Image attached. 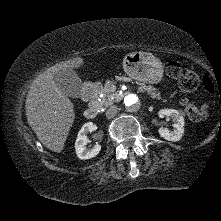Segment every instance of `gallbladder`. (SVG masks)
Masks as SVG:
<instances>
[{
  "mask_svg": "<svg viewBox=\"0 0 221 221\" xmlns=\"http://www.w3.org/2000/svg\"><path fill=\"white\" fill-rule=\"evenodd\" d=\"M54 81L58 88L67 96L79 98L82 90V81L72 69L59 70Z\"/></svg>",
  "mask_w": 221,
  "mask_h": 221,
  "instance_id": "gallbladder-1",
  "label": "gallbladder"
}]
</instances>
